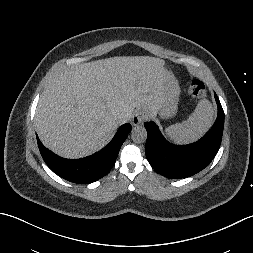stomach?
I'll return each mask as SVG.
<instances>
[{
    "label": "stomach",
    "mask_w": 253,
    "mask_h": 253,
    "mask_svg": "<svg viewBox=\"0 0 253 253\" xmlns=\"http://www.w3.org/2000/svg\"><path fill=\"white\" fill-rule=\"evenodd\" d=\"M165 90V100L158 110L160 117L163 119L174 117L178 110L180 88L175 77L165 83Z\"/></svg>",
    "instance_id": "0dacf381"
}]
</instances>
